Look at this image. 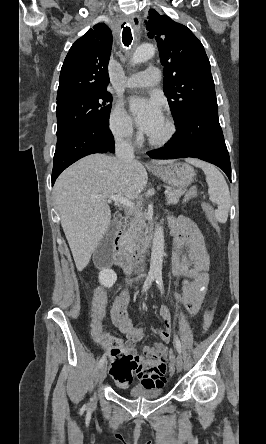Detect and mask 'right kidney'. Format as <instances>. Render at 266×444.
Masks as SVG:
<instances>
[{
    "label": "right kidney",
    "instance_id": "1",
    "mask_svg": "<svg viewBox=\"0 0 266 444\" xmlns=\"http://www.w3.org/2000/svg\"><path fill=\"white\" fill-rule=\"evenodd\" d=\"M117 280V274L109 268H103L99 273V282L101 285L111 288Z\"/></svg>",
    "mask_w": 266,
    "mask_h": 444
}]
</instances>
